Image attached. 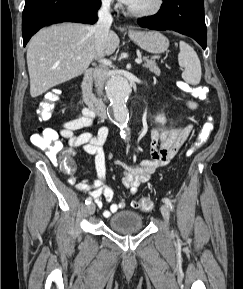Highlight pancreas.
<instances>
[{
	"label": "pancreas",
	"instance_id": "pancreas-1",
	"mask_svg": "<svg viewBox=\"0 0 243 289\" xmlns=\"http://www.w3.org/2000/svg\"><path fill=\"white\" fill-rule=\"evenodd\" d=\"M145 60V63L143 64V67L149 69L152 73L159 76L160 75V69L158 68L156 62L152 59H149L148 57H143Z\"/></svg>",
	"mask_w": 243,
	"mask_h": 289
}]
</instances>
